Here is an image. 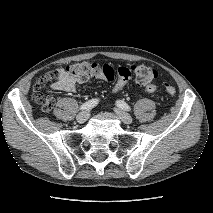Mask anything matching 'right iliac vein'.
Instances as JSON below:
<instances>
[{"instance_id": "63e3f726", "label": "right iliac vein", "mask_w": 213, "mask_h": 213, "mask_svg": "<svg viewBox=\"0 0 213 213\" xmlns=\"http://www.w3.org/2000/svg\"><path fill=\"white\" fill-rule=\"evenodd\" d=\"M89 117V113L87 111L80 112L76 116V120L78 123H84Z\"/></svg>"}]
</instances>
